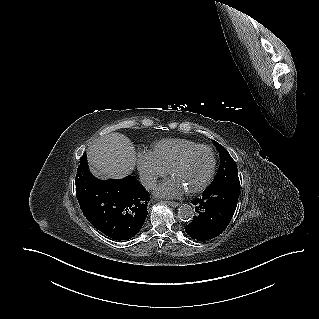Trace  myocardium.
Segmentation results:
<instances>
[{"instance_id":"myocardium-1","label":"myocardium","mask_w":319,"mask_h":319,"mask_svg":"<svg viewBox=\"0 0 319 319\" xmlns=\"http://www.w3.org/2000/svg\"><path fill=\"white\" fill-rule=\"evenodd\" d=\"M199 150H207L210 155H211V168L210 171L206 177V179L204 180V182L202 184H200L199 186H197L194 189L191 190H187L186 192L190 195H194V194H198L202 191H204L212 182L214 175H215V171H216V166H217V160H216V155L214 150L207 145H198L195 146L193 148H190L186 151H184L169 167L168 172L169 175L172 177L173 172L179 168L191 155H193L194 153H196Z\"/></svg>"}]
</instances>
